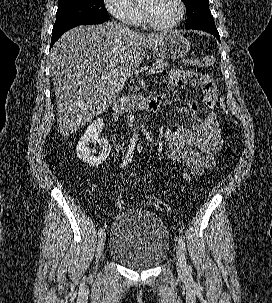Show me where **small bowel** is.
Here are the masks:
<instances>
[{
  "label": "small bowel",
  "mask_w": 272,
  "mask_h": 303,
  "mask_svg": "<svg viewBox=\"0 0 272 303\" xmlns=\"http://www.w3.org/2000/svg\"><path fill=\"white\" fill-rule=\"evenodd\" d=\"M169 77L168 92L187 83L197 85L201 91L199 98L186 103L194 128L176 123L166 129L168 144L164 155L179 164L178 171L184 180L191 181L214 167V155L223 145L219 118L214 110L219 89L211 76L196 71L173 69Z\"/></svg>",
  "instance_id": "1"
}]
</instances>
